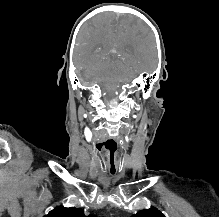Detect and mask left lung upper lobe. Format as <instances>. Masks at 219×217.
Listing matches in <instances>:
<instances>
[{
  "instance_id": "5c2ea615",
  "label": "left lung upper lobe",
  "mask_w": 219,
  "mask_h": 217,
  "mask_svg": "<svg viewBox=\"0 0 219 217\" xmlns=\"http://www.w3.org/2000/svg\"><path fill=\"white\" fill-rule=\"evenodd\" d=\"M132 217H165L159 210L156 208L144 209Z\"/></svg>"
}]
</instances>
